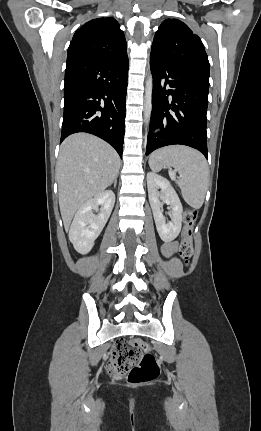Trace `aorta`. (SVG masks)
I'll list each match as a JSON object with an SVG mask.
<instances>
[{
  "instance_id": "762f6f07",
  "label": "aorta",
  "mask_w": 261,
  "mask_h": 431,
  "mask_svg": "<svg viewBox=\"0 0 261 431\" xmlns=\"http://www.w3.org/2000/svg\"><path fill=\"white\" fill-rule=\"evenodd\" d=\"M152 92H153V79L150 75L146 81L145 86V100H144V121L148 123L150 121L152 111Z\"/></svg>"
}]
</instances>
